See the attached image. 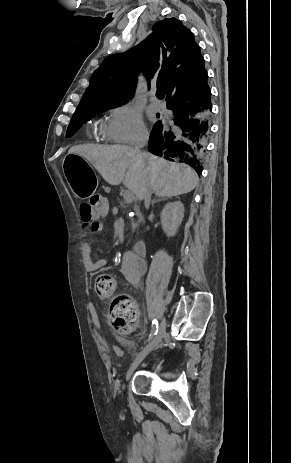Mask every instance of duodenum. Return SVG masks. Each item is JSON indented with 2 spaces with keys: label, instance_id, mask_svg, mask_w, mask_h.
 Segmentation results:
<instances>
[{
  "label": "duodenum",
  "instance_id": "duodenum-1",
  "mask_svg": "<svg viewBox=\"0 0 291 463\" xmlns=\"http://www.w3.org/2000/svg\"><path fill=\"white\" fill-rule=\"evenodd\" d=\"M146 250L147 245L145 240H138L133 247V251L139 256H145Z\"/></svg>",
  "mask_w": 291,
  "mask_h": 463
}]
</instances>
